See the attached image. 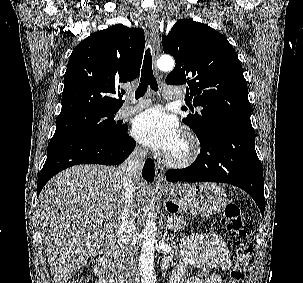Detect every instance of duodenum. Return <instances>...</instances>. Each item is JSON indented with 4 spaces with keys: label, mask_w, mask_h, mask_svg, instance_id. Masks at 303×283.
Segmentation results:
<instances>
[{
    "label": "duodenum",
    "mask_w": 303,
    "mask_h": 283,
    "mask_svg": "<svg viewBox=\"0 0 303 283\" xmlns=\"http://www.w3.org/2000/svg\"><path fill=\"white\" fill-rule=\"evenodd\" d=\"M166 265L165 262L164 266L166 267ZM98 266L108 273L110 283H125L124 270L117 250L110 249L106 251L103 259L98 262Z\"/></svg>",
    "instance_id": "obj_1"
}]
</instances>
